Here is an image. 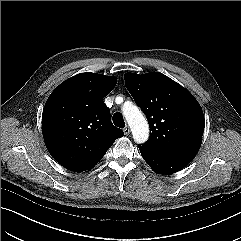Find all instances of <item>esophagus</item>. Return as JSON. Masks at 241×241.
<instances>
[{"mask_svg":"<svg viewBox=\"0 0 241 241\" xmlns=\"http://www.w3.org/2000/svg\"><path fill=\"white\" fill-rule=\"evenodd\" d=\"M123 132L125 135H129L130 134V128L128 126H126L124 129H123Z\"/></svg>","mask_w":241,"mask_h":241,"instance_id":"esophagus-1","label":"esophagus"}]
</instances>
